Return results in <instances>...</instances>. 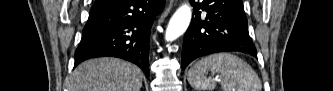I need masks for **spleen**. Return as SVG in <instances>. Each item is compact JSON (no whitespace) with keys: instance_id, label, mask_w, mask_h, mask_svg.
<instances>
[{"instance_id":"spleen-1","label":"spleen","mask_w":333,"mask_h":91,"mask_svg":"<svg viewBox=\"0 0 333 91\" xmlns=\"http://www.w3.org/2000/svg\"><path fill=\"white\" fill-rule=\"evenodd\" d=\"M211 71L222 77L223 91H261L262 83L252 67L231 53H218L195 62L187 79L195 91H213L215 81L205 76Z\"/></svg>"}]
</instances>
